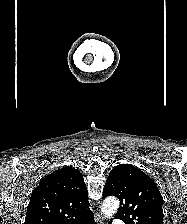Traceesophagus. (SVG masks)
Segmentation results:
<instances>
[{"label": "esophagus", "instance_id": "1", "mask_svg": "<svg viewBox=\"0 0 187 224\" xmlns=\"http://www.w3.org/2000/svg\"><path fill=\"white\" fill-rule=\"evenodd\" d=\"M100 224H105L104 218H101Z\"/></svg>", "mask_w": 187, "mask_h": 224}]
</instances>
